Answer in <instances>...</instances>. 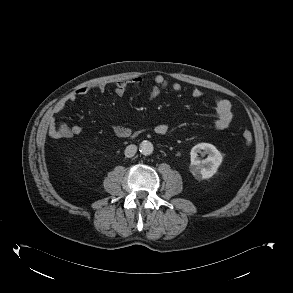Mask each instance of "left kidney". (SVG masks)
Listing matches in <instances>:
<instances>
[{
  "mask_svg": "<svg viewBox=\"0 0 293 293\" xmlns=\"http://www.w3.org/2000/svg\"><path fill=\"white\" fill-rule=\"evenodd\" d=\"M198 153H206L208 157L204 160L198 158ZM191 164L190 171L197 179L211 178L222 163L223 156L217 148L209 143H199L190 152Z\"/></svg>",
  "mask_w": 293,
  "mask_h": 293,
  "instance_id": "obj_1",
  "label": "left kidney"
}]
</instances>
